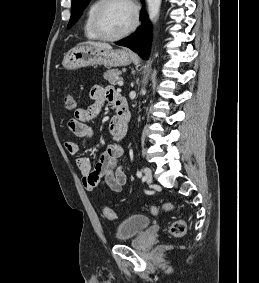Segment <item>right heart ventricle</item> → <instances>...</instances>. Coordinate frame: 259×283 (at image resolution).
<instances>
[{"mask_svg":"<svg viewBox=\"0 0 259 283\" xmlns=\"http://www.w3.org/2000/svg\"><path fill=\"white\" fill-rule=\"evenodd\" d=\"M99 3H100V0H94L90 4V6L87 9L85 19H84V24H83L84 35L86 38L90 40L98 39L97 35L94 33L93 28H92V18H93V13Z\"/></svg>","mask_w":259,"mask_h":283,"instance_id":"e07e8e85","label":"right heart ventricle"}]
</instances>
